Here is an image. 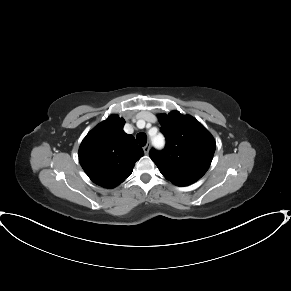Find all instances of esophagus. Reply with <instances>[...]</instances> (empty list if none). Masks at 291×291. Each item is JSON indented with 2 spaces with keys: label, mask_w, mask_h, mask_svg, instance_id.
Masks as SVG:
<instances>
[{
  "label": "esophagus",
  "mask_w": 291,
  "mask_h": 291,
  "mask_svg": "<svg viewBox=\"0 0 291 291\" xmlns=\"http://www.w3.org/2000/svg\"><path fill=\"white\" fill-rule=\"evenodd\" d=\"M149 150H150L149 145H146L145 147H143V151L146 155L149 153Z\"/></svg>",
  "instance_id": "34e87169"
}]
</instances>
